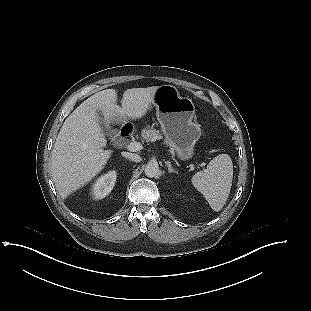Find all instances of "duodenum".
<instances>
[{"mask_svg": "<svg viewBox=\"0 0 311 311\" xmlns=\"http://www.w3.org/2000/svg\"><path fill=\"white\" fill-rule=\"evenodd\" d=\"M130 134V130L126 127H123L120 131V137L126 138Z\"/></svg>", "mask_w": 311, "mask_h": 311, "instance_id": "410a0bca", "label": "duodenum"}]
</instances>
